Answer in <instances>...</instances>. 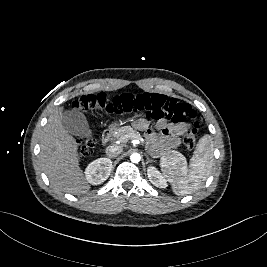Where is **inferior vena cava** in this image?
<instances>
[{"mask_svg":"<svg viewBox=\"0 0 267 267\" xmlns=\"http://www.w3.org/2000/svg\"><path fill=\"white\" fill-rule=\"evenodd\" d=\"M105 151L110 158H115L123 151V147L120 145H111Z\"/></svg>","mask_w":267,"mask_h":267,"instance_id":"inferior-vena-cava-1","label":"inferior vena cava"}]
</instances>
